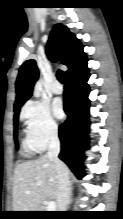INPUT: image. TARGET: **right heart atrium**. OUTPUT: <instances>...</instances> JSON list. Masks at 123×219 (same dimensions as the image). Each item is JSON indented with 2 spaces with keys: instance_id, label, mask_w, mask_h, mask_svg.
I'll return each instance as SVG.
<instances>
[{
  "instance_id": "right-heart-atrium-1",
  "label": "right heart atrium",
  "mask_w": 123,
  "mask_h": 219,
  "mask_svg": "<svg viewBox=\"0 0 123 219\" xmlns=\"http://www.w3.org/2000/svg\"><path fill=\"white\" fill-rule=\"evenodd\" d=\"M26 123L27 134L38 151H43L57 139L59 127L49 107L38 101H30L21 111Z\"/></svg>"
}]
</instances>
